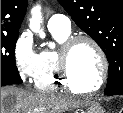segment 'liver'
Here are the masks:
<instances>
[{
  "instance_id": "obj_1",
  "label": "liver",
  "mask_w": 123,
  "mask_h": 113,
  "mask_svg": "<svg viewBox=\"0 0 123 113\" xmlns=\"http://www.w3.org/2000/svg\"><path fill=\"white\" fill-rule=\"evenodd\" d=\"M81 101L57 94H42L14 86L1 87V113H63Z\"/></svg>"
}]
</instances>
